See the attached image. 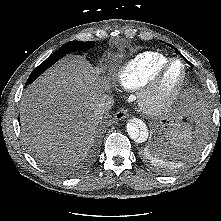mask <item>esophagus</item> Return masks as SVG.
<instances>
[{"label": "esophagus", "instance_id": "34e87169", "mask_svg": "<svg viewBox=\"0 0 221 221\" xmlns=\"http://www.w3.org/2000/svg\"><path fill=\"white\" fill-rule=\"evenodd\" d=\"M114 117H115V120H116V121L123 120V119H125V118L128 117V111H127L126 109H124V108L119 109V110L115 113Z\"/></svg>", "mask_w": 221, "mask_h": 221}]
</instances>
